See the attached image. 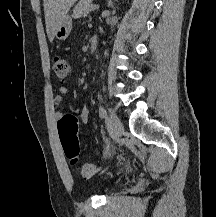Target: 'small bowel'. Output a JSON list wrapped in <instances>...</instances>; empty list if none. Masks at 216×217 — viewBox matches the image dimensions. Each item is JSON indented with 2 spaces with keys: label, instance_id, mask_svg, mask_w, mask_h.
Here are the masks:
<instances>
[{
  "label": "small bowel",
  "instance_id": "1",
  "mask_svg": "<svg viewBox=\"0 0 216 217\" xmlns=\"http://www.w3.org/2000/svg\"><path fill=\"white\" fill-rule=\"evenodd\" d=\"M69 93V89L66 86H61L58 89V93L57 95H55L54 99H53V104L56 108H58L64 99V96L67 95ZM63 113L56 110L54 112V119L56 121V123H59V121L63 118ZM80 119L82 121L83 124H87L88 120H89V108L87 105H84L81 112H80Z\"/></svg>",
  "mask_w": 216,
  "mask_h": 217
}]
</instances>
